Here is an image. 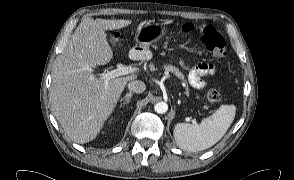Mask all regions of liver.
Returning a JSON list of instances; mask_svg holds the SVG:
<instances>
[{
  "label": "liver",
  "instance_id": "liver-1",
  "mask_svg": "<svg viewBox=\"0 0 294 180\" xmlns=\"http://www.w3.org/2000/svg\"><path fill=\"white\" fill-rule=\"evenodd\" d=\"M132 23L126 19L84 18L62 53L52 73L50 102L65 133L76 143L92 141L112 114L126 84L137 75L111 79L106 84L93 73L113 57L107 42V30Z\"/></svg>",
  "mask_w": 294,
  "mask_h": 180
}]
</instances>
